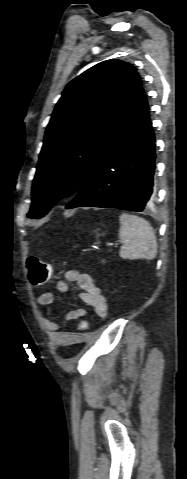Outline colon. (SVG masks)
Wrapping results in <instances>:
<instances>
[{"instance_id":"5ec220e1","label":"colon","mask_w":187,"mask_h":479,"mask_svg":"<svg viewBox=\"0 0 187 479\" xmlns=\"http://www.w3.org/2000/svg\"><path fill=\"white\" fill-rule=\"evenodd\" d=\"M26 268L29 280L33 285H42L46 283L50 277V265L37 257H29L26 261ZM89 325V321L83 319L78 324V330L85 332L89 329Z\"/></svg>"}]
</instances>
